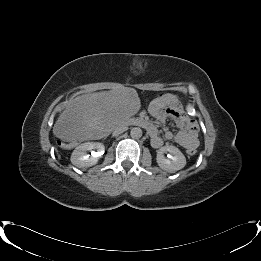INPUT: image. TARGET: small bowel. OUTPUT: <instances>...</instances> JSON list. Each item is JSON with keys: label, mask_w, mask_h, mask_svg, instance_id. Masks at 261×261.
Wrapping results in <instances>:
<instances>
[{"label": "small bowel", "mask_w": 261, "mask_h": 261, "mask_svg": "<svg viewBox=\"0 0 261 261\" xmlns=\"http://www.w3.org/2000/svg\"><path fill=\"white\" fill-rule=\"evenodd\" d=\"M149 114L152 118L160 123H165L167 120H174L180 127V131L173 133L166 131L164 138L166 140H173L185 148L198 146V129L196 123L192 120L188 113H186L181 105L179 98L173 94L165 93L155 99L149 106ZM145 120L140 118L138 120ZM137 120V121H138ZM150 137L151 143L155 147L162 145V138L159 136L156 127L145 120L144 124Z\"/></svg>", "instance_id": "obj_1"}]
</instances>
